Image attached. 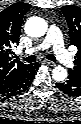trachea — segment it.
<instances>
[{
  "label": "trachea",
  "mask_w": 81,
  "mask_h": 124,
  "mask_svg": "<svg viewBox=\"0 0 81 124\" xmlns=\"http://www.w3.org/2000/svg\"><path fill=\"white\" fill-rule=\"evenodd\" d=\"M47 59L51 60V61H56V58L52 54H48L47 55ZM24 60L26 62H28V63H33V62L36 61V56L35 55H31V56L26 57Z\"/></svg>",
  "instance_id": "3493384b"
}]
</instances>
